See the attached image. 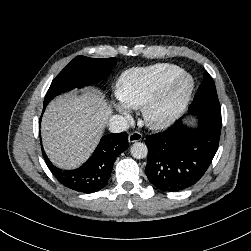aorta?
<instances>
[{
	"label": "aorta",
	"instance_id": "762f6f07",
	"mask_svg": "<svg viewBox=\"0 0 251 251\" xmlns=\"http://www.w3.org/2000/svg\"><path fill=\"white\" fill-rule=\"evenodd\" d=\"M131 155L136 159H143L148 154V148L146 144L141 142H135L130 148Z\"/></svg>",
	"mask_w": 251,
	"mask_h": 251
}]
</instances>
